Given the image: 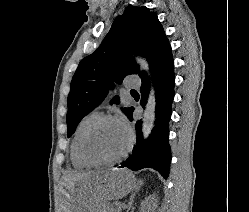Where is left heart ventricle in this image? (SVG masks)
<instances>
[{"label": "left heart ventricle", "instance_id": "1", "mask_svg": "<svg viewBox=\"0 0 249 212\" xmlns=\"http://www.w3.org/2000/svg\"><path fill=\"white\" fill-rule=\"evenodd\" d=\"M129 141L127 130L119 123L105 122L89 135L85 149L87 155L96 161H107L119 156Z\"/></svg>", "mask_w": 249, "mask_h": 212}]
</instances>
